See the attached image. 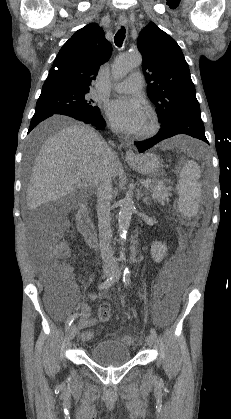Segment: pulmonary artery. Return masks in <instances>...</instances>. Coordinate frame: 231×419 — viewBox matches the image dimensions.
Instances as JSON below:
<instances>
[{
    "label": "pulmonary artery",
    "mask_w": 231,
    "mask_h": 419,
    "mask_svg": "<svg viewBox=\"0 0 231 419\" xmlns=\"http://www.w3.org/2000/svg\"><path fill=\"white\" fill-rule=\"evenodd\" d=\"M143 84V76L135 72L130 74L125 80L115 84L113 90L120 93H137L141 91Z\"/></svg>",
    "instance_id": "1"
}]
</instances>
